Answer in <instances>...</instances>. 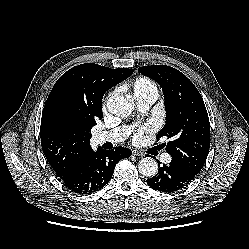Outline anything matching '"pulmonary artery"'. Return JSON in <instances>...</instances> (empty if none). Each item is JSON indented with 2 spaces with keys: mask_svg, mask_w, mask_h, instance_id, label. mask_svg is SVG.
<instances>
[{
  "mask_svg": "<svg viewBox=\"0 0 249 249\" xmlns=\"http://www.w3.org/2000/svg\"><path fill=\"white\" fill-rule=\"evenodd\" d=\"M137 106L142 111L147 110L158 98L157 91H150L147 93L136 95ZM130 127L122 126L117 127L110 131L99 132L94 136V142L96 144H103L106 142L117 143L121 142L130 134ZM162 161L164 163H169L171 161V156L169 154L162 155Z\"/></svg>",
  "mask_w": 249,
  "mask_h": 249,
  "instance_id": "pulmonary-artery-1",
  "label": "pulmonary artery"
}]
</instances>
